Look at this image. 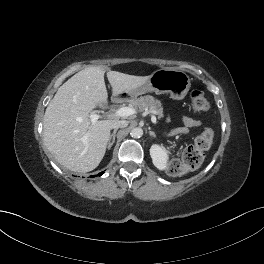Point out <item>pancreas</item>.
<instances>
[{
	"instance_id": "obj_1",
	"label": "pancreas",
	"mask_w": 264,
	"mask_h": 264,
	"mask_svg": "<svg viewBox=\"0 0 264 264\" xmlns=\"http://www.w3.org/2000/svg\"><path fill=\"white\" fill-rule=\"evenodd\" d=\"M128 103L131 107L140 112L148 110L155 113L159 119L164 117L161 102L151 95L142 96L140 98H132L128 100Z\"/></svg>"
}]
</instances>
